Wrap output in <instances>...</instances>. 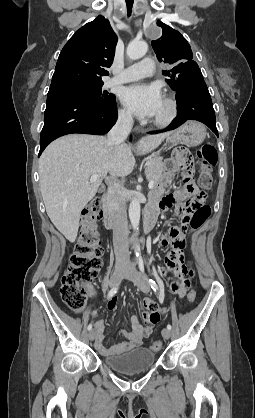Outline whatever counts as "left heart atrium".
Listing matches in <instances>:
<instances>
[{
  "label": "left heart atrium",
  "mask_w": 255,
  "mask_h": 418,
  "mask_svg": "<svg viewBox=\"0 0 255 418\" xmlns=\"http://www.w3.org/2000/svg\"><path fill=\"white\" fill-rule=\"evenodd\" d=\"M123 104L136 116L153 117L163 103L158 86L138 83L126 87L121 95Z\"/></svg>",
  "instance_id": "left-heart-atrium-1"
}]
</instances>
